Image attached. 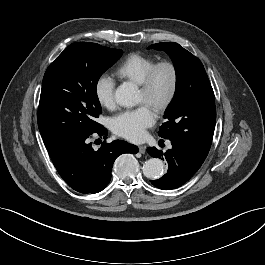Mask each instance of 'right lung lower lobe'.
Here are the masks:
<instances>
[{
    "label": "right lung lower lobe",
    "mask_w": 265,
    "mask_h": 265,
    "mask_svg": "<svg viewBox=\"0 0 265 265\" xmlns=\"http://www.w3.org/2000/svg\"><path fill=\"white\" fill-rule=\"evenodd\" d=\"M93 134L107 135L102 125L92 133L47 148L52 162L62 179L80 193H97L110 182L115 159L123 153L136 154L138 148L121 140L103 142L98 150L93 149L90 139Z\"/></svg>",
    "instance_id": "98d812e1"
}]
</instances>
